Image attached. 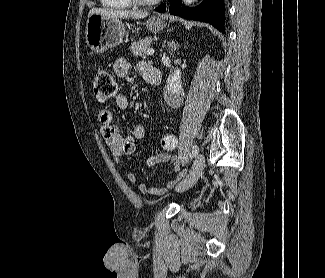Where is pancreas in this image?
Returning a JSON list of instances; mask_svg holds the SVG:
<instances>
[{
  "mask_svg": "<svg viewBox=\"0 0 325 278\" xmlns=\"http://www.w3.org/2000/svg\"><path fill=\"white\" fill-rule=\"evenodd\" d=\"M151 42L152 38L150 37L139 40L137 42H133L130 46V51L135 57L140 56L145 58L147 56V50L149 49V45Z\"/></svg>",
  "mask_w": 325,
  "mask_h": 278,
  "instance_id": "pancreas-1",
  "label": "pancreas"
}]
</instances>
